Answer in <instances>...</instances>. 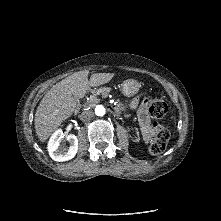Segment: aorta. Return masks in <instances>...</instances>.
<instances>
[{
	"label": "aorta",
	"instance_id": "aorta-1",
	"mask_svg": "<svg viewBox=\"0 0 221 221\" xmlns=\"http://www.w3.org/2000/svg\"><path fill=\"white\" fill-rule=\"evenodd\" d=\"M95 114L97 116H103L105 114V107L103 105H97L95 108Z\"/></svg>",
	"mask_w": 221,
	"mask_h": 221
}]
</instances>
